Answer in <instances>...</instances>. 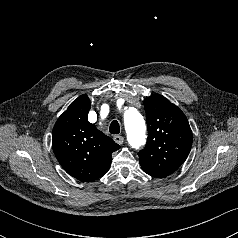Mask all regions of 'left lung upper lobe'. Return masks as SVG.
Instances as JSON below:
<instances>
[{
    "mask_svg": "<svg viewBox=\"0 0 238 238\" xmlns=\"http://www.w3.org/2000/svg\"><path fill=\"white\" fill-rule=\"evenodd\" d=\"M148 140L138 155L143 171L157 178L175 172L189 155L192 131L182 110L161 95L144 100Z\"/></svg>",
    "mask_w": 238,
    "mask_h": 238,
    "instance_id": "left-lung-upper-lobe-1",
    "label": "left lung upper lobe"
}]
</instances>
